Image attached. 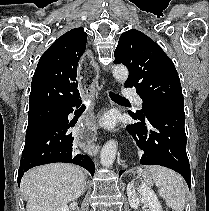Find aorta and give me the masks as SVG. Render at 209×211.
<instances>
[{
  "label": "aorta",
  "instance_id": "762f6f07",
  "mask_svg": "<svg viewBox=\"0 0 209 211\" xmlns=\"http://www.w3.org/2000/svg\"><path fill=\"white\" fill-rule=\"evenodd\" d=\"M113 76L117 81L125 82L128 78V69L124 65H116L113 68ZM117 153V142L108 141L101 150V164L105 167L112 166Z\"/></svg>",
  "mask_w": 209,
  "mask_h": 211
}]
</instances>
